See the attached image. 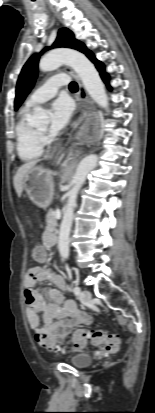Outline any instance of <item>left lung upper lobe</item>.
Segmentation results:
<instances>
[{
	"label": "left lung upper lobe",
	"mask_w": 155,
	"mask_h": 413,
	"mask_svg": "<svg viewBox=\"0 0 155 413\" xmlns=\"http://www.w3.org/2000/svg\"><path fill=\"white\" fill-rule=\"evenodd\" d=\"M52 47H68L76 49L84 53L90 60L94 57L92 52L88 50L82 42L76 40L73 33L67 28H62L59 30L58 37ZM47 49L48 48L45 50ZM42 53L43 52L31 56L19 75L16 86L15 110L20 107L35 83L38 72V61Z\"/></svg>",
	"instance_id": "obj_1"
}]
</instances>
